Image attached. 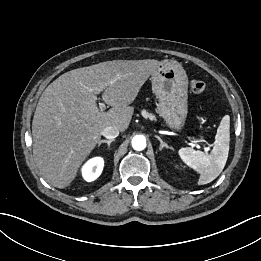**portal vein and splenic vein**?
Returning a JSON list of instances; mask_svg holds the SVG:
<instances>
[{
  "label": "portal vein and splenic vein",
  "mask_w": 261,
  "mask_h": 261,
  "mask_svg": "<svg viewBox=\"0 0 261 261\" xmlns=\"http://www.w3.org/2000/svg\"><path fill=\"white\" fill-rule=\"evenodd\" d=\"M101 91H103V87L95 89V92H96V93H99V92H101ZM99 108H100L101 111H104V110L106 109V106H105L104 103L99 102ZM194 145H195L197 148H203L206 153L210 150L209 147H205V146L201 147L199 144H196V143H195Z\"/></svg>",
  "instance_id": "1"
}]
</instances>
